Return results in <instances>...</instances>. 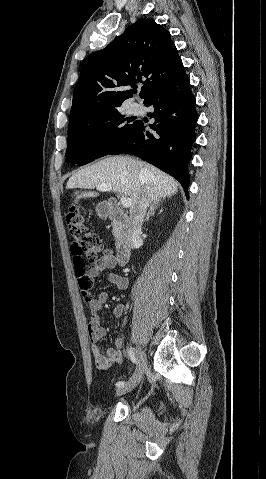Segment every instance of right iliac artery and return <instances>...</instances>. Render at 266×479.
<instances>
[{"label": "right iliac artery", "mask_w": 266, "mask_h": 479, "mask_svg": "<svg viewBox=\"0 0 266 479\" xmlns=\"http://www.w3.org/2000/svg\"><path fill=\"white\" fill-rule=\"evenodd\" d=\"M127 352H128V356H129V358L131 359V361H132L133 363H137V360H136V358H135V354H134L132 348H127ZM124 385H125V382H124V381H119V382L116 383V386H117V387H122V386H124Z\"/></svg>", "instance_id": "right-iliac-artery-1"}]
</instances>
